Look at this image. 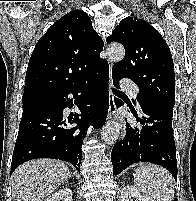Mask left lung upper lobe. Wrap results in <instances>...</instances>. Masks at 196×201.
<instances>
[{
    "label": "left lung upper lobe",
    "instance_id": "left-lung-upper-lobe-1",
    "mask_svg": "<svg viewBox=\"0 0 196 201\" xmlns=\"http://www.w3.org/2000/svg\"><path fill=\"white\" fill-rule=\"evenodd\" d=\"M120 42L124 58L114 64L112 76L128 77L139 87L137 100H156L174 107L175 76L170 49L162 36L145 20L126 17L106 38ZM134 102V101H133Z\"/></svg>",
    "mask_w": 196,
    "mask_h": 201
}]
</instances>
